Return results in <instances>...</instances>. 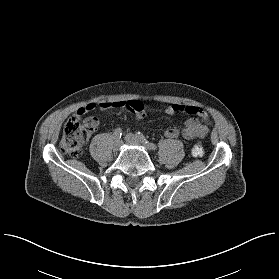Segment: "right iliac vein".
Here are the masks:
<instances>
[{
    "mask_svg": "<svg viewBox=\"0 0 279 279\" xmlns=\"http://www.w3.org/2000/svg\"><path fill=\"white\" fill-rule=\"evenodd\" d=\"M121 146H122V141L121 140H117V141L114 142L113 150L114 151H118V150H120Z\"/></svg>",
    "mask_w": 279,
    "mask_h": 279,
    "instance_id": "1",
    "label": "right iliac vein"
}]
</instances>
